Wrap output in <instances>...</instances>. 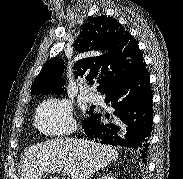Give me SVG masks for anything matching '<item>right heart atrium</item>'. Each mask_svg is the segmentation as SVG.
I'll list each match as a JSON object with an SVG mask.
<instances>
[{"label":"right heart atrium","mask_w":183,"mask_h":179,"mask_svg":"<svg viewBox=\"0 0 183 179\" xmlns=\"http://www.w3.org/2000/svg\"><path fill=\"white\" fill-rule=\"evenodd\" d=\"M37 128L48 135H66L73 131L75 121L72 106L67 99H48L37 108Z\"/></svg>","instance_id":"right-heart-atrium-1"}]
</instances>
